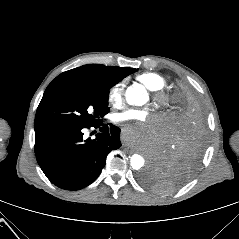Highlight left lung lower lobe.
<instances>
[{"label":"left lung lower lobe","mask_w":239,"mask_h":239,"mask_svg":"<svg viewBox=\"0 0 239 239\" xmlns=\"http://www.w3.org/2000/svg\"><path fill=\"white\" fill-rule=\"evenodd\" d=\"M204 143L205 119L201 102L198 98L185 99L178 104L175 124L165 133L150 167L169 179L173 188L179 187L194 173Z\"/></svg>","instance_id":"1"}]
</instances>
